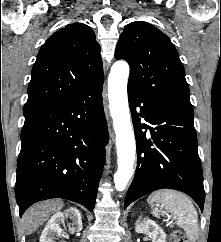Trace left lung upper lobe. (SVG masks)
Segmentation results:
<instances>
[{"label": "left lung upper lobe", "instance_id": "obj_1", "mask_svg": "<svg viewBox=\"0 0 221 242\" xmlns=\"http://www.w3.org/2000/svg\"><path fill=\"white\" fill-rule=\"evenodd\" d=\"M115 57L130 65L128 86L160 107L194 116L184 66L170 39L156 27L143 21L127 24Z\"/></svg>", "mask_w": 221, "mask_h": 242}]
</instances>
